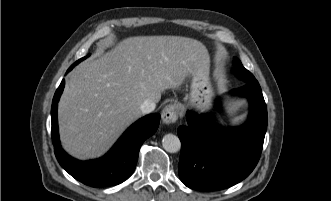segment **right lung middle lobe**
Segmentation results:
<instances>
[{
  "instance_id": "dd1d6c3e",
  "label": "right lung middle lobe",
  "mask_w": 331,
  "mask_h": 201,
  "mask_svg": "<svg viewBox=\"0 0 331 201\" xmlns=\"http://www.w3.org/2000/svg\"><path fill=\"white\" fill-rule=\"evenodd\" d=\"M83 59H85V58H82V59H80V60H78V61H76L70 68H73L75 65H77L81 60H83Z\"/></svg>"
}]
</instances>
